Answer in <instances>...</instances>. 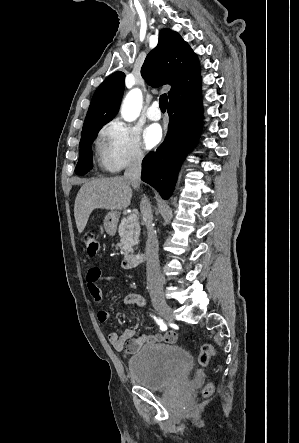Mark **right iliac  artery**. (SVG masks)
<instances>
[{
	"label": "right iliac artery",
	"instance_id": "right-iliac-artery-1",
	"mask_svg": "<svg viewBox=\"0 0 299 443\" xmlns=\"http://www.w3.org/2000/svg\"><path fill=\"white\" fill-rule=\"evenodd\" d=\"M153 318L155 319V321L157 322V324L159 325V327L162 331H165L167 329V325L165 324V322L162 319H158L155 316H153Z\"/></svg>",
	"mask_w": 299,
	"mask_h": 443
}]
</instances>
